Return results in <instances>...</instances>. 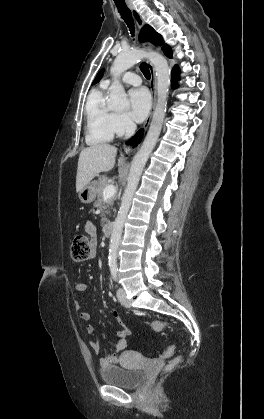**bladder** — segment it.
<instances>
[{"label":"bladder","mask_w":264,"mask_h":419,"mask_svg":"<svg viewBox=\"0 0 264 419\" xmlns=\"http://www.w3.org/2000/svg\"><path fill=\"white\" fill-rule=\"evenodd\" d=\"M100 375L103 382L126 389L136 388L145 379L143 370L124 366L104 367Z\"/></svg>","instance_id":"bladder-1"}]
</instances>
